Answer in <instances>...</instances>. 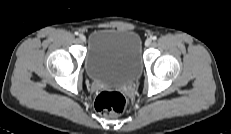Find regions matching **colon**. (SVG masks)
<instances>
[{"label": "colon", "instance_id": "1", "mask_svg": "<svg viewBox=\"0 0 231 134\" xmlns=\"http://www.w3.org/2000/svg\"><path fill=\"white\" fill-rule=\"evenodd\" d=\"M95 109L102 115L112 117L121 114L127 107V98L116 90L99 92L94 100Z\"/></svg>", "mask_w": 231, "mask_h": 134}]
</instances>
